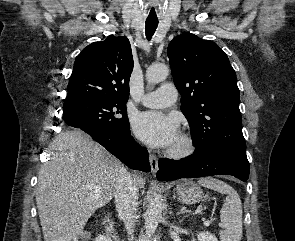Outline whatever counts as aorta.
<instances>
[{
	"label": "aorta",
	"instance_id": "762f6f07",
	"mask_svg": "<svg viewBox=\"0 0 295 241\" xmlns=\"http://www.w3.org/2000/svg\"><path fill=\"white\" fill-rule=\"evenodd\" d=\"M168 75L169 68L165 64L152 65L146 71V80L150 84H156L165 80ZM161 216L162 198L160 194L154 193L145 214V229L148 235L156 231Z\"/></svg>",
	"mask_w": 295,
	"mask_h": 241
}]
</instances>
